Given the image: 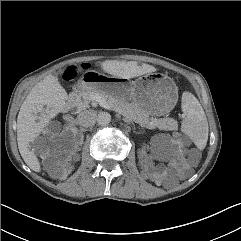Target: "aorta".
<instances>
[{"label":"aorta","mask_w":241,"mask_h":241,"mask_svg":"<svg viewBox=\"0 0 241 241\" xmlns=\"http://www.w3.org/2000/svg\"><path fill=\"white\" fill-rule=\"evenodd\" d=\"M112 117L108 112H100L97 117L96 121L100 126H107L111 123Z\"/></svg>","instance_id":"obj_1"}]
</instances>
